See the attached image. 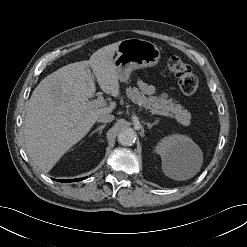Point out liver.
<instances>
[{"mask_svg":"<svg viewBox=\"0 0 247 247\" xmlns=\"http://www.w3.org/2000/svg\"><path fill=\"white\" fill-rule=\"evenodd\" d=\"M119 42L94 52L88 61L68 64L46 76L34 89L24 121V139L28 155L43 171H50L58 160L91 129L100 114H109V106L91 105L96 80L103 92L119 97L120 86L113 64Z\"/></svg>","mask_w":247,"mask_h":247,"instance_id":"6515ba94","label":"liver"}]
</instances>
